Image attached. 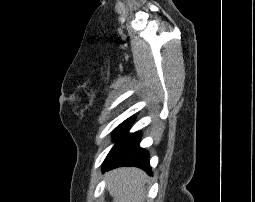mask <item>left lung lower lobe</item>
<instances>
[{"label":"left lung lower lobe","instance_id":"left-lung-lower-lobe-1","mask_svg":"<svg viewBox=\"0 0 255 202\" xmlns=\"http://www.w3.org/2000/svg\"><path fill=\"white\" fill-rule=\"evenodd\" d=\"M140 136V133H134L113 159L105 161L102 166L103 172L121 166H135L152 175L149 154L139 146Z\"/></svg>","mask_w":255,"mask_h":202}]
</instances>
